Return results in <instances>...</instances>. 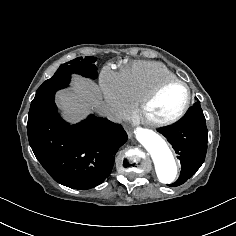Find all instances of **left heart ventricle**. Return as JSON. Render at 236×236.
<instances>
[{
    "label": "left heart ventricle",
    "instance_id": "b2bd125f",
    "mask_svg": "<svg viewBox=\"0 0 236 236\" xmlns=\"http://www.w3.org/2000/svg\"><path fill=\"white\" fill-rule=\"evenodd\" d=\"M185 100V88L178 84L170 85L150 105L147 115L157 121L170 119L181 110Z\"/></svg>",
    "mask_w": 236,
    "mask_h": 236
}]
</instances>
